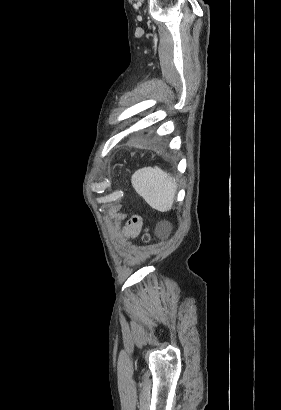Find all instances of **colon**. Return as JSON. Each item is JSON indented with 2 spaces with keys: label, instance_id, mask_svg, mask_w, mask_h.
Instances as JSON below:
<instances>
[{
  "label": "colon",
  "instance_id": "obj_1",
  "mask_svg": "<svg viewBox=\"0 0 281 410\" xmlns=\"http://www.w3.org/2000/svg\"><path fill=\"white\" fill-rule=\"evenodd\" d=\"M132 222L139 223L140 225L142 224L140 217H137V216L132 218ZM148 239H149V235L147 233V230L145 229L144 234H143V240L148 241Z\"/></svg>",
  "mask_w": 281,
  "mask_h": 410
}]
</instances>
